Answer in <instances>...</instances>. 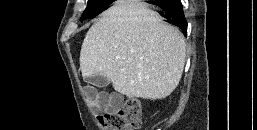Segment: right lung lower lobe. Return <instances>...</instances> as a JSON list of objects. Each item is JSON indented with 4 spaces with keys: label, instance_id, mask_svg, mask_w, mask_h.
I'll return each mask as SVG.
<instances>
[{
    "label": "right lung lower lobe",
    "instance_id": "98d812e1",
    "mask_svg": "<svg viewBox=\"0 0 257 130\" xmlns=\"http://www.w3.org/2000/svg\"><path fill=\"white\" fill-rule=\"evenodd\" d=\"M152 4L161 9L160 15L166 18V22L181 28L185 33L187 32V22L180 0H161L152 2Z\"/></svg>",
    "mask_w": 257,
    "mask_h": 130
}]
</instances>
